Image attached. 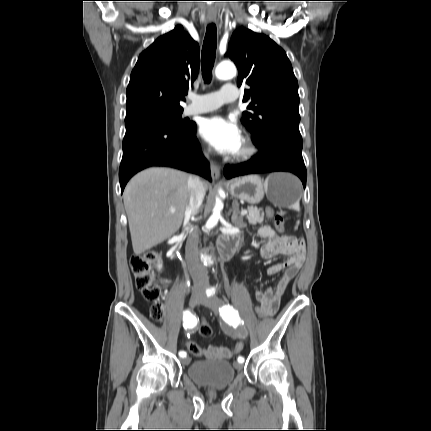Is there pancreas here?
<instances>
[{
    "instance_id": "pancreas-1",
    "label": "pancreas",
    "mask_w": 431,
    "mask_h": 431,
    "mask_svg": "<svg viewBox=\"0 0 431 431\" xmlns=\"http://www.w3.org/2000/svg\"><path fill=\"white\" fill-rule=\"evenodd\" d=\"M261 211H262L261 209H258L255 207L248 208V214L246 218L249 224L256 225L264 221V213Z\"/></svg>"
}]
</instances>
